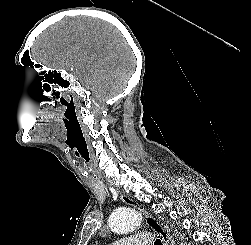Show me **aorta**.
Masks as SVG:
<instances>
[{
  "instance_id": "1",
  "label": "aorta",
  "mask_w": 251,
  "mask_h": 245,
  "mask_svg": "<svg viewBox=\"0 0 251 245\" xmlns=\"http://www.w3.org/2000/svg\"><path fill=\"white\" fill-rule=\"evenodd\" d=\"M139 225L140 214L133 208H119L109 217V226L111 230L117 234L133 232L139 227Z\"/></svg>"
}]
</instances>
